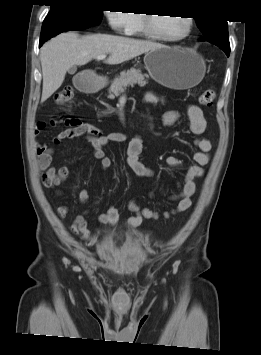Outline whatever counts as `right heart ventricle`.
<instances>
[{
    "instance_id": "e07e8e85",
    "label": "right heart ventricle",
    "mask_w": 261,
    "mask_h": 355,
    "mask_svg": "<svg viewBox=\"0 0 261 355\" xmlns=\"http://www.w3.org/2000/svg\"><path fill=\"white\" fill-rule=\"evenodd\" d=\"M145 33L143 31L142 15L141 13L134 14V23L129 32V35L143 36Z\"/></svg>"
}]
</instances>
